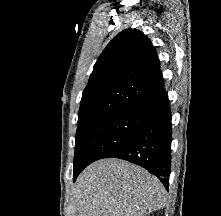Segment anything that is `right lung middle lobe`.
<instances>
[{"label":"right lung middle lobe","instance_id":"obj_1","mask_svg":"<svg viewBox=\"0 0 221 216\" xmlns=\"http://www.w3.org/2000/svg\"><path fill=\"white\" fill-rule=\"evenodd\" d=\"M147 114L110 113L78 124L74 166L89 165L130 140L146 122Z\"/></svg>","mask_w":221,"mask_h":216}]
</instances>
